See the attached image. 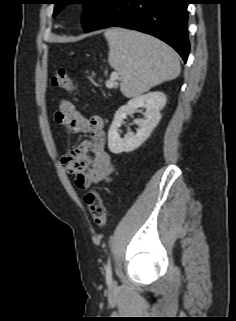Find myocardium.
I'll return each instance as SVG.
<instances>
[{"instance_id": "obj_1", "label": "myocardium", "mask_w": 236, "mask_h": 321, "mask_svg": "<svg viewBox=\"0 0 236 321\" xmlns=\"http://www.w3.org/2000/svg\"><path fill=\"white\" fill-rule=\"evenodd\" d=\"M75 8L81 10L85 8V5H75Z\"/></svg>"}]
</instances>
